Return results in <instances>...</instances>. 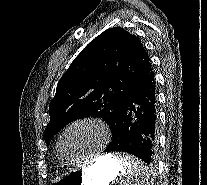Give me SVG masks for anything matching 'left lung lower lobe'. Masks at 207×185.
Segmentation results:
<instances>
[{
  "label": "left lung lower lobe",
  "mask_w": 207,
  "mask_h": 185,
  "mask_svg": "<svg viewBox=\"0 0 207 185\" xmlns=\"http://www.w3.org/2000/svg\"><path fill=\"white\" fill-rule=\"evenodd\" d=\"M157 111L154 73L140 81L123 102L104 152H125L153 161L157 146Z\"/></svg>",
  "instance_id": "0a47b994"
}]
</instances>
